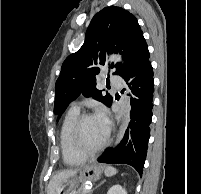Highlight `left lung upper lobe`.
<instances>
[{"label":"left lung upper lobe","instance_id":"5c2ea615","mask_svg":"<svg viewBox=\"0 0 201 194\" xmlns=\"http://www.w3.org/2000/svg\"><path fill=\"white\" fill-rule=\"evenodd\" d=\"M144 40L136 17L121 7H105L98 12L87 29L82 47L63 62L55 85L54 113L59 117L69 103L80 94L112 103L110 94L102 95L96 88V74L103 66L115 68L114 74L122 76L131 64L139 45ZM119 53L124 64L108 63L106 54Z\"/></svg>","mask_w":201,"mask_h":194}]
</instances>
